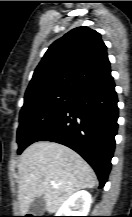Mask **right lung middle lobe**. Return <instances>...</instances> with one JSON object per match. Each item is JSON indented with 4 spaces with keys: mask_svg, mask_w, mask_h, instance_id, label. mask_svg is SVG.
Returning a JSON list of instances; mask_svg holds the SVG:
<instances>
[{
    "mask_svg": "<svg viewBox=\"0 0 132 217\" xmlns=\"http://www.w3.org/2000/svg\"><path fill=\"white\" fill-rule=\"evenodd\" d=\"M75 97L76 94L73 93L55 92L25 98L17 130L18 154L36 142L74 101Z\"/></svg>",
    "mask_w": 132,
    "mask_h": 217,
    "instance_id": "obj_1",
    "label": "right lung middle lobe"
}]
</instances>
